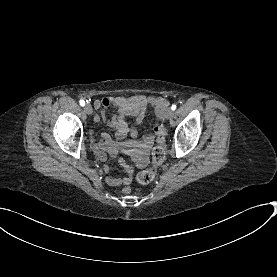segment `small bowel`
<instances>
[{"label":"small bowel","mask_w":277,"mask_h":277,"mask_svg":"<svg viewBox=\"0 0 277 277\" xmlns=\"http://www.w3.org/2000/svg\"><path fill=\"white\" fill-rule=\"evenodd\" d=\"M110 102L115 108L114 115L107 120L108 126L116 130L117 138H123L129 135L132 138L137 136V130L135 128L128 127L126 118L131 116L135 118L136 123L140 124L145 118L146 111L149 107L154 109L155 116L164 114V110L168 106V102L159 96H145L135 95L132 97L114 96L95 98L93 103L102 107L107 108ZM101 118L106 119L109 116L108 111L103 110L100 113ZM99 120V116L95 117V121ZM154 142L152 135L145 136L142 140H130L123 144H115L112 142L108 135H104L99 143H92L93 150L97 153L102 163L107 161V158L103 156V151L106 150L110 154L115 155L119 150L127 151L133 157V164H128L125 161H120V167L125 172V176L120 178H108L107 183L112 186L128 185L131 183L135 172L139 169L144 168L147 165V150L151 147ZM105 173L110 171L108 166L103 168Z\"/></svg>","instance_id":"1"}]
</instances>
